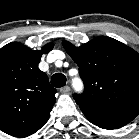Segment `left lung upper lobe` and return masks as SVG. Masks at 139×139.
Listing matches in <instances>:
<instances>
[{"mask_svg": "<svg viewBox=\"0 0 139 139\" xmlns=\"http://www.w3.org/2000/svg\"><path fill=\"white\" fill-rule=\"evenodd\" d=\"M62 45L79 66L84 82V92L73 96L81 109H139V54L135 50L106 36L80 47L68 41Z\"/></svg>", "mask_w": 139, "mask_h": 139, "instance_id": "obj_1", "label": "left lung upper lobe"}]
</instances>
